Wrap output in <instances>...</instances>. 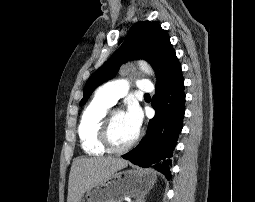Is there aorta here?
<instances>
[{"mask_svg": "<svg viewBox=\"0 0 255 202\" xmlns=\"http://www.w3.org/2000/svg\"><path fill=\"white\" fill-rule=\"evenodd\" d=\"M137 64L140 70L143 71L145 74L152 75V76L154 75L152 67L146 61L139 60Z\"/></svg>", "mask_w": 255, "mask_h": 202, "instance_id": "1", "label": "aorta"}]
</instances>
